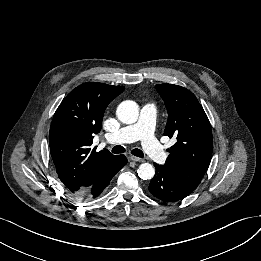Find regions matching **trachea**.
<instances>
[{"instance_id":"trachea-1","label":"trachea","mask_w":261,"mask_h":261,"mask_svg":"<svg viewBox=\"0 0 261 261\" xmlns=\"http://www.w3.org/2000/svg\"><path fill=\"white\" fill-rule=\"evenodd\" d=\"M112 152L115 153V154H120V153L125 152V148L120 146V145H116V146L113 147ZM131 153L134 156H137V157H141V158L144 157L143 152L140 149H137V148L133 149L131 151Z\"/></svg>"}]
</instances>
